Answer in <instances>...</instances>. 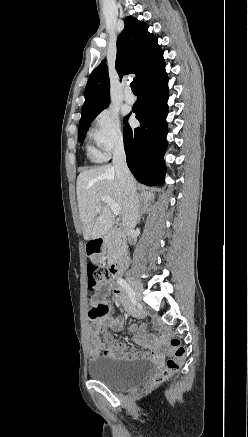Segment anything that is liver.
Instances as JSON below:
<instances>
[{"mask_svg":"<svg viewBox=\"0 0 248 437\" xmlns=\"http://www.w3.org/2000/svg\"><path fill=\"white\" fill-rule=\"evenodd\" d=\"M77 201L83 235L86 241L103 237L114 225V215L101 197H110L120 206L122 217L126 214V200L114 166L104 165L82 171L77 178ZM143 202L153 200L154 195L144 193ZM100 211L96 212V207ZM97 214H99L97 216Z\"/></svg>","mask_w":248,"mask_h":437,"instance_id":"6515ba94","label":"liver"}]
</instances>
